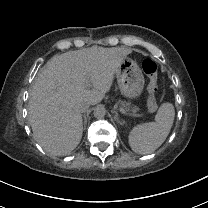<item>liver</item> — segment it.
I'll use <instances>...</instances> for the list:
<instances>
[{"label": "liver", "instance_id": "1", "mask_svg": "<svg viewBox=\"0 0 208 208\" xmlns=\"http://www.w3.org/2000/svg\"><path fill=\"white\" fill-rule=\"evenodd\" d=\"M132 52L91 47L53 57L35 78L29 100L28 118L38 144L54 155L74 150L83 134L79 103H100L111 90L123 60Z\"/></svg>", "mask_w": 208, "mask_h": 208}]
</instances>
